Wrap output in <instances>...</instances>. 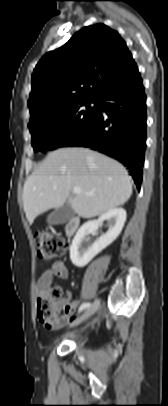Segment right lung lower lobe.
<instances>
[{"label":"right lung lower lobe","mask_w":168,"mask_h":406,"mask_svg":"<svg viewBox=\"0 0 168 406\" xmlns=\"http://www.w3.org/2000/svg\"><path fill=\"white\" fill-rule=\"evenodd\" d=\"M93 121L63 147H87L126 167L140 189L146 148V95L139 72L102 93Z\"/></svg>","instance_id":"98d812e1"}]
</instances>
